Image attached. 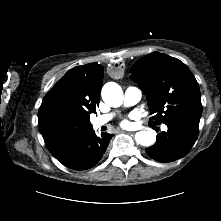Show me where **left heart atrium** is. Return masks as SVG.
I'll return each mask as SVG.
<instances>
[{
    "label": "left heart atrium",
    "instance_id": "39dd6f15",
    "mask_svg": "<svg viewBox=\"0 0 221 221\" xmlns=\"http://www.w3.org/2000/svg\"><path fill=\"white\" fill-rule=\"evenodd\" d=\"M136 118L135 114H131L128 118H124L121 122L120 125L123 128H131L133 126L132 120Z\"/></svg>",
    "mask_w": 221,
    "mask_h": 221
}]
</instances>
